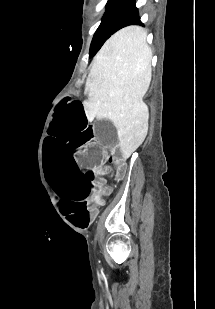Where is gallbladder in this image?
<instances>
[{
    "label": "gallbladder",
    "instance_id": "obj_1",
    "mask_svg": "<svg viewBox=\"0 0 215 309\" xmlns=\"http://www.w3.org/2000/svg\"><path fill=\"white\" fill-rule=\"evenodd\" d=\"M93 132H95V136H99L102 144H107L108 148H113L118 140V133L109 121H98L97 125H93Z\"/></svg>",
    "mask_w": 215,
    "mask_h": 309
}]
</instances>
